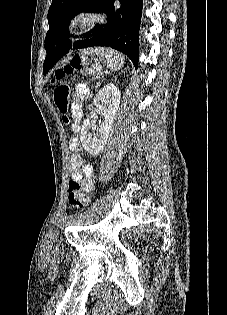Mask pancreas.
<instances>
[{"label":"pancreas","instance_id":"cf45deb5","mask_svg":"<svg viewBox=\"0 0 227 315\" xmlns=\"http://www.w3.org/2000/svg\"><path fill=\"white\" fill-rule=\"evenodd\" d=\"M99 70H97V66L94 65L92 66V69H89V73L93 74V75H96L98 74Z\"/></svg>","mask_w":227,"mask_h":315}]
</instances>
